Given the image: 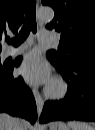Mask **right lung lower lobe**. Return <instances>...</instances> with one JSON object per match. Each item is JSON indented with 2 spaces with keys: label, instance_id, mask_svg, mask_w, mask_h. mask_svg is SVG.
Instances as JSON below:
<instances>
[{
  "label": "right lung lower lobe",
  "instance_id": "98d812e1",
  "mask_svg": "<svg viewBox=\"0 0 95 130\" xmlns=\"http://www.w3.org/2000/svg\"><path fill=\"white\" fill-rule=\"evenodd\" d=\"M20 58L15 65L18 66ZM14 64L0 70V112L21 116L31 123L36 120V105L31 90L21 77H13Z\"/></svg>",
  "mask_w": 95,
  "mask_h": 130
}]
</instances>
